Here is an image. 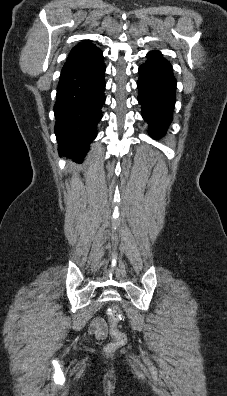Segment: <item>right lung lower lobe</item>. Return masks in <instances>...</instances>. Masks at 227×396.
Segmentation results:
<instances>
[{"label":"right lung lower lobe","mask_w":227,"mask_h":396,"mask_svg":"<svg viewBox=\"0 0 227 396\" xmlns=\"http://www.w3.org/2000/svg\"><path fill=\"white\" fill-rule=\"evenodd\" d=\"M103 53L91 42L70 52L59 78L54 115L58 149L81 159L97 134L105 102Z\"/></svg>","instance_id":"98d812e1"}]
</instances>
